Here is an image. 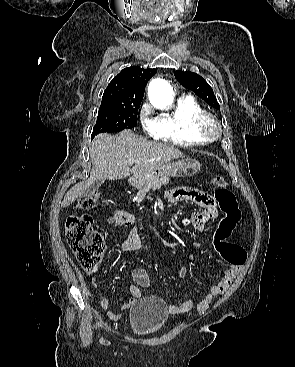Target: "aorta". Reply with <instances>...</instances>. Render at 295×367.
I'll use <instances>...</instances> for the list:
<instances>
[{"mask_svg":"<svg viewBox=\"0 0 295 367\" xmlns=\"http://www.w3.org/2000/svg\"><path fill=\"white\" fill-rule=\"evenodd\" d=\"M148 96L151 104L159 109H167L173 103L172 88L162 79H154L150 82Z\"/></svg>","mask_w":295,"mask_h":367,"instance_id":"aorta-1","label":"aorta"}]
</instances>
